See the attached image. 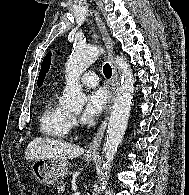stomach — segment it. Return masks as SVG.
Returning a JSON list of instances; mask_svg holds the SVG:
<instances>
[{"mask_svg": "<svg viewBox=\"0 0 189 195\" xmlns=\"http://www.w3.org/2000/svg\"><path fill=\"white\" fill-rule=\"evenodd\" d=\"M96 153L86 152L84 158L90 162L96 158ZM68 161L54 158H42L35 160L31 165L33 175L44 185H52L58 182L59 178L67 173Z\"/></svg>", "mask_w": 189, "mask_h": 195, "instance_id": "1", "label": "stomach"}]
</instances>
